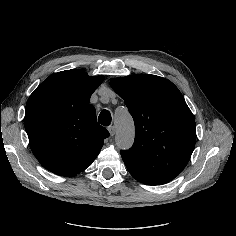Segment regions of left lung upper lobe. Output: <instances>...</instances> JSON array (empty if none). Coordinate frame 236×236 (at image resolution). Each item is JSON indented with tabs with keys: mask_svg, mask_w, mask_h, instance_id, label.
Masks as SVG:
<instances>
[{
	"mask_svg": "<svg viewBox=\"0 0 236 236\" xmlns=\"http://www.w3.org/2000/svg\"><path fill=\"white\" fill-rule=\"evenodd\" d=\"M113 90L135 123V140L121 156L128 170L161 185L188 163L196 142L195 119L178 88L149 74L115 78Z\"/></svg>",
	"mask_w": 236,
	"mask_h": 236,
	"instance_id": "5c2ea615",
	"label": "left lung upper lobe"
}]
</instances>
